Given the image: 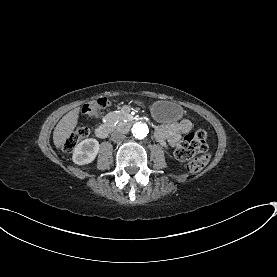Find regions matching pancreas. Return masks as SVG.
Here are the masks:
<instances>
[{"instance_id": "pancreas-1", "label": "pancreas", "mask_w": 277, "mask_h": 277, "mask_svg": "<svg viewBox=\"0 0 277 277\" xmlns=\"http://www.w3.org/2000/svg\"><path fill=\"white\" fill-rule=\"evenodd\" d=\"M107 117L110 121L115 122L119 119L120 114L117 110L112 109L108 112Z\"/></svg>"}]
</instances>
